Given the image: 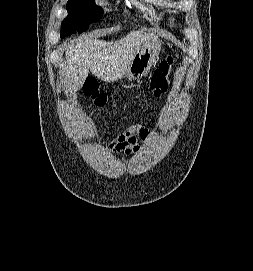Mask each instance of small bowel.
<instances>
[{"label": "small bowel", "instance_id": "small-bowel-1", "mask_svg": "<svg viewBox=\"0 0 253 271\" xmlns=\"http://www.w3.org/2000/svg\"><path fill=\"white\" fill-rule=\"evenodd\" d=\"M153 137V133L139 125L132 124L126 127L115 140L110 144V151L114 155H137L140 150L138 147V140H150Z\"/></svg>", "mask_w": 253, "mask_h": 271}]
</instances>
